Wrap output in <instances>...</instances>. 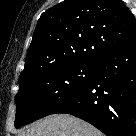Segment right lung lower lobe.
Instances as JSON below:
<instances>
[{"mask_svg": "<svg viewBox=\"0 0 136 136\" xmlns=\"http://www.w3.org/2000/svg\"><path fill=\"white\" fill-rule=\"evenodd\" d=\"M56 113L83 119L107 136H135L136 39L100 59L90 84Z\"/></svg>", "mask_w": 136, "mask_h": 136, "instance_id": "98d812e1", "label": "right lung lower lobe"}]
</instances>
